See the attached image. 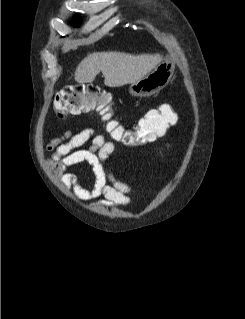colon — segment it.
<instances>
[{
	"instance_id": "colon-1",
	"label": "colon",
	"mask_w": 245,
	"mask_h": 319,
	"mask_svg": "<svg viewBox=\"0 0 245 319\" xmlns=\"http://www.w3.org/2000/svg\"><path fill=\"white\" fill-rule=\"evenodd\" d=\"M113 107L109 93L93 84H76L60 90L54 100L55 111L62 115H81L96 112L110 119ZM176 120V114L170 107L147 112L139 119L134 130L112 122V136L125 146H139L152 143L163 136Z\"/></svg>"
}]
</instances>
